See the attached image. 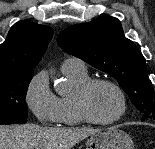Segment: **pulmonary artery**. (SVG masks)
Segmentation results:
<instances>
[{"label": "pulmonary artery", "instance_id": "1", "mask_svg": "<svg viewBox=\"0 0 155 149\" xmlns=\"http://www.w3.org/2000/svg\"><path fill=\"white\" fill-rule=\"evenodd\" d=\"M63 72H84L86 71L85 64L82 60L76 57H69L62 63Z\"/></svg>", "mask_w": 155, "mask_h": 149}]
</instances>
